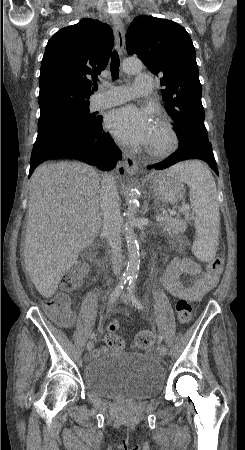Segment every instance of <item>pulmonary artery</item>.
Instances as JSON below:
<instances>
[{
    "label": "pulmonary artery",
    "instance_id": "obj_1",
    "mask_svg": "<svg viewBox=\"0 0 245 450\" xmlns=\"http://www.w3.org/2000/svg\"><path fill=\"white\" fill-rule=\"evenodd\" d=\"M154 78L149 74H140L135 78L134 83L121 86H109L108 89L97 93L94 106L96 109L106 108L113 105L125 103L132 99L129 94L130 89H134L136 95L143 96L152 93Z\"/></svg>",
    "mask_w": 245,
    "mask_h": 450
}]
</instances>
